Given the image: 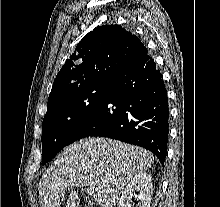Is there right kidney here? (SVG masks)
Wrapping results in <instances>:
<instances>
[{
	"label": "right kidney",
	"mask_w": 220,
	"mask_h": 207,
	"mask_svg": "<svg viewBox=\"0 0 220 207\" xmlns=\"http://www.w3.org/2000/svg\"><path fill=\"white\" fill-rule=\"evenodd\" d=\"M152 196L151 176L145 172L136 174L124 189L118 207H131L135 197L139 207H150Z\"/></svg>",
	"instance_id": "obj_1"
}]
</instances>
